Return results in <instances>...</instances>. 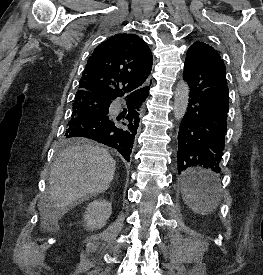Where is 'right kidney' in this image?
Masks as SVG:
<instances>
[{
  "mask_svg": "<svg viewBox=\"0 0 263 275\" xmlns=\"http://www.w3.org/2000/svg\"><path fill=\"white\" fill-rule=\"evenodd\" d=\"M112 205L107 200H94L89 203L85 215V227L88 230L101 229L111 216Z\"/></svg>",
  "mask_w": 263,
  "mask_h": 275,
  "instance_id": "obj_1",
  "label": "right kidney"
}]
</instances>
